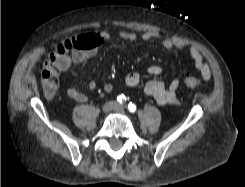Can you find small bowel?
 Listing matches in <instances>:
<instances>
[{"label":"small bowel","instance_id":"obj_1","mask_svg":"<svg viewBox=\"0 0 245 187\" xmlns=\"http://www.w3.org/2000/svg\"><path fill=\"white\" fill-rule=\"evenodd\" d=\"M118 37L122 40L135 42L138 40L142 41H152L160 37L159 33L156 31H145L142 33H137L135 31L120 30L118 32ZM111 40V34L109 32H94L85 36L84 48L78 52L71 54L67 60L59 65V71L64 72L70 67L79 66L84 63L87 59L92 57L97 48ZM162 46L167 49H178L181 52L187 53L193 60L196 69L199 71L204 79H209L212 75L211 68L203 59L201 52L192 45H187L184 42L171 38L165 37L162 39ZM163 69L159 65H152L148 68V73L152 76H157L162 73ZM141 82V76L137 72L128 73L125 76L124 83L128 87L138 86ZM180 86V79H174L168 86L158 80H150L144 86V92L146 95L152 97L159 105L165 106L170 104L178 103L177 89ZM90 89L94 90L96 88L95 82L89 83ZM112 85L107 83L103 86L105 92H110L112 90ZM67 95L74 101L85 102L88 98L87 96L77 90L74 87H69L67 89Z\"/></svg>","mask_w":245,"mask_h":187}]
</instances>
